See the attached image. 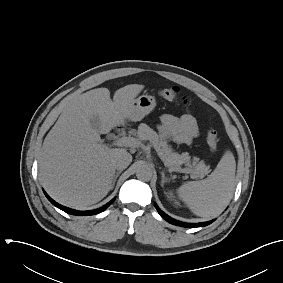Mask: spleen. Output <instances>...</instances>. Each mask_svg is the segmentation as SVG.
<instances>
[{"instance_id":"3e777b00","label":"spleen","mask_w":283,"mask_h":283,"mask_svg":"<svg viewBox=\"0 0 283 283\" xmlns=\"http://www.w3.org/2000/svg\"><path fill=\"white\" fill-rule=\"evenodd\" d=\"M235 170V158L228 150L209 177L181 185L177 190L178 196L197 216H216L232 197Z\"/></svg>"}]
</instances>
